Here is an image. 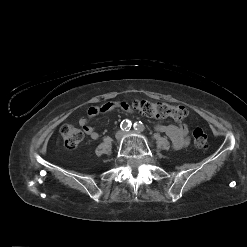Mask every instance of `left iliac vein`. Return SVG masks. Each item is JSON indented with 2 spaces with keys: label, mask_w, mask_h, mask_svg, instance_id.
<instances>
[{
  "label": "left iliac vein",
  "mask_w": 247,
  "mask_h": 247,
  "mask_svg": "<svg viewBox=\"0 0 247 247\" xmlns=\"http://www.w3.org/2000/svg\"><path fill=\"white\" fill-rule=\"evenodd\" d=\"M132 132L131 131H126L124 134H131Z\"/></svg>",
  "instance_id": "obj_1"
}]
</instances>
